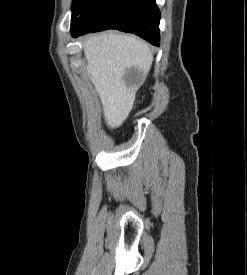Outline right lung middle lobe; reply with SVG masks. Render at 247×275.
<instances>
[{
    "mask_svg": "<svg viewBox=\"0 0 247 275\" xmlns=\"http://www.w3.org/2000/svg\"><path fill=\"white\" fill-rule=\"evenodd\" d=\"M103 1L104 0H73L71 27L77 22V20L83 13H85L86 11L100 4Z\"/></svg>",
    "mask_w": 247,
    "mask_h": 275,
    "instance_id": "1",
    "label": "right lung middle lobe"
}]
</instances>
